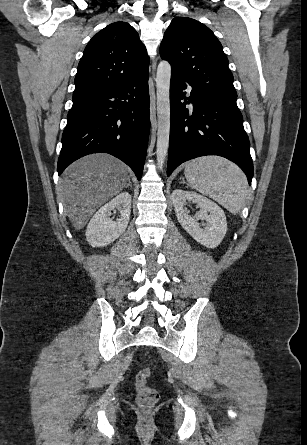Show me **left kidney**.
Wrapping results in <instances>:
<instances>
[{
    "instance_id": "obj_1",
    "label": "left kidney",
    "mask_w": 307,
    "mask_h": 445,
    "mask_svg": "<svg viewBox=\"0 0 307 445\" xmlns=\"http://www.w3.org/2000/svg\"><path fill=\"white\" fill-rule=\"evenodd\" d=\"M186 200L197 202L198 206H200V210L195 212L194 216H190L188 210L184 208V204H187ZM172 202L181 227L197 243H201L207 249H216L220 245L226 235L227 223L222 208L216 202L206 198V196H202V194L191 192V190H173ZM199 218L207 220V225L204 229H200V225L197 223Z\"/></svg>"
}]
</instances>
